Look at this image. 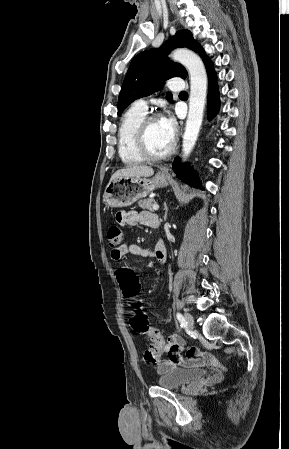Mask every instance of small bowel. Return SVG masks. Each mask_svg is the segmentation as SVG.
Masks as SVG:
<instances>
[{"label": "small bowel", "instance_id": "small-bowel-1", "mask_svg": "<svg viewBox=\"0 0 289 449\" xmlns=\"http://www.w3.org/2000/svg\"><path fill=\"white\" fill-rule=\"evenodd\" d=\"M117 221L121 225L141 224L152 228H156L159 224L157 216L149 212L122 211L118 213ZM125 255L150 257L160 262H165L167 259L166 247L162 241L156 244L153 251L131 242H125L120 247L111 250V258L115 261L121 260ZM164 348L166 350L165 354L169 359L160 360L162 354L159 356L155 367L160 374L167 373L177 368V366L181 369L186 367L188 369H195L196 367L204 369L207 366L209 369L215 367L217 370H225V367L214 356L213 352L203 353L197 346L185 348V341L180 335L174 334L169 336ZM182 351L185 354L181 353Z\"/></svg>", "mask_w": 289, "mask_h": 449}]
</instances>
